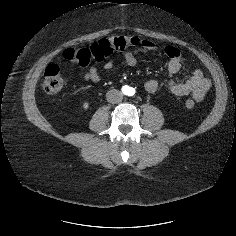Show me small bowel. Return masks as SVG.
Here are the masks:
<instances>
[{
    "instance_id": "c3829d8e",
    "label": "small bowel",
    "mask_w": 236,
    "mask_h": 236,
    "mask_svg": "<svg viewBox=\"0 0 236 236\" xmlns=\"http://www.w3.org/2000/svg\"><path fill=\"white\" fill-rule=\"evenodd\" d=\"M140 50L142 52H152L156 51L157 47L151 41L144 40L140 44ZM164 54L169 58L167 64L168 75L172 76L178 73L184 62L182 53L174 46H167L164 49ZM123 56L127 65L134 66L136 64V52L127 50L124 52ZM103 67L105 70L109 71L114 67V63L112 60H106ZM84 80L86 82L98 83L101 80V73L96 67L90 66L84 74ZM167 85L169 90L176 96L191 95L195 101H201L210 90L211 81L205 77L201 69H195L186 81L178 83L169 79ZM144 87L148 93H154L158 88V82L154 79L147 80Z\"/></svg>"
}]
</instances>
